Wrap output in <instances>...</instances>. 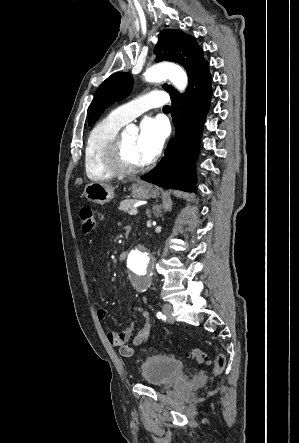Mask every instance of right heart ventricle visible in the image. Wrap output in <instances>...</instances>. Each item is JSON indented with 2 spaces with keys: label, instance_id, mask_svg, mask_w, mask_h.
I'll list each match as a JSON object with an SVG mask.
<instances>
[{
  "label": "right heart ventricle",
  "instance_id": "obj_1",
  "mask_svg": "<svg viewBox=\"0 0 299 443\" xmlns=\"http://www.w3.org/2000/svg\"><path fill=\"white\" fill-rule=\"evenodd\" d=\"M124 124L109 115L99 121L90 131L84 154L85 172L90 180L107 181L116 175L107 167L105 153Z\"/></svg>",
  "mask_w": 299,
  "mask_h": 443
}]
</instances>
